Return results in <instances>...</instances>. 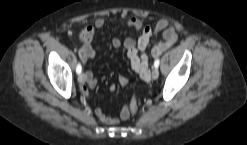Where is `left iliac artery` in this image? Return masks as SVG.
Returning a JSON list of instances; mask_svg holds the SVG:
<instances>
[{
  "label": "left iliac artery",
  "instance_id": "1",
  "mask_svg": "<svg viewBox=\"0 0 247 145\" xmlns=\"http://www.w3.org/2000/svg\"><path fill=\"white\" fill-rule=\"evenodd\" d=\"M159 63H160V60L157 58V59L155 60V62H154V66H155L156 68H158Z\"/></svg>",
  "mask_w": 247,
  "mask_h": 145
}]
</instances>
